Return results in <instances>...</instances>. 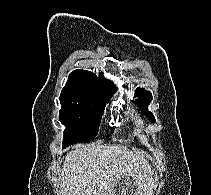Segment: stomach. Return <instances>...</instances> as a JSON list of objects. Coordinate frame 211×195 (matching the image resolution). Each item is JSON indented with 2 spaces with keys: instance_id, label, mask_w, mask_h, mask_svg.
<instances>
[{
  "instance_id": "obj_1",
  "label": "stomach",
  "mask_w": 211,
  "mask_h": 195,
  "mask_svg": "<svg viewBox=\"0 0 211 195\" xmlns=\"http://www.w3.org/2000/svg\"><path fill=\"white\" fill-rule=\"evenodd\" d=\"M117 185L122 187V188H125L127 186H131V185H133V187H136L133 182H131L129 179H126V178L122 179ZM135 191H137L136 188H135ZM131 195H134V194H131Z\"/></svg>"
}]
</instances>
